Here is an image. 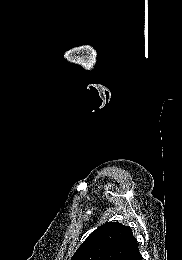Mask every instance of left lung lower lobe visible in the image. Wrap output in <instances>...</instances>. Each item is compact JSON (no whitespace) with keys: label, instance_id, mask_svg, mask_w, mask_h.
Masks as SVG:
<instances>
[{"label":"left lung lower lobe","instance_id":"left-lung-lower-lobe-1","mask_svg":"<svg viewBox=\"0 0 182 260\" xmlns=\"http://www.w3.org/2000/svg\"><path fill=\"white\" fill-rule=\"evenodd\" d=\"M123 260H142V256L139 252L138 244L137 242L135 245L131 248V250L128 252V254L124 257Z\"/></svg>","mask_w":182,"mask_h":260}]
</instances>
